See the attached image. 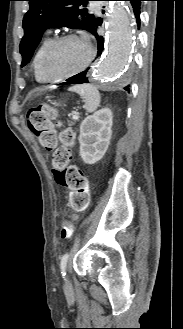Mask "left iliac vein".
<instances>
[{
    "instance_id": "left-iliac-vein-1",
    "label": "left iliac vein",
    "mask_w": 183,
    "mask_h": 329,
    "mask_svg": "<svg viewBox=\"0 0 183 329\" xmlns=\"http://www.w3.org/2000/svg\"><path fill=\"white\" fill-rule=\"evenodd\" d=\"M64 288H65L66 292H70V290H71V284H70V280H69L68 275L65 277Z\"/></svg>"
}]
</instances>
